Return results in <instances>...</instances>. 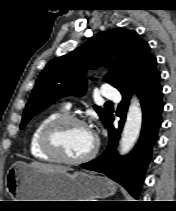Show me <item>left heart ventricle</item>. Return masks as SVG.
Here are the masks:
<instances>
[{
  "mask_svg": "<svg viewBox=\"0 0 176 211\" xmlns=\"http://www.w3.org/2000/svg\"><path fill=\"white\" fill-rule=\"evenodd\" d=\"M94 140L90 129L77 124L64 125L57 133V144L61 152L69 158L87 154L92 149Z\"/></svg>",
  "mask_w": 176,
  "mask_h": 211,
  "instance_id": "left-heart-ventricle-1",
  "label": "left heart ventricle"
}]
</instances>
